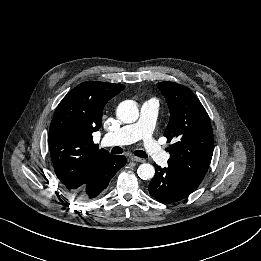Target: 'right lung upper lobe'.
Instances as JSON below:
<instances>
[{
  "label": "right lung upper lobe",
  "instance_id": "1",
  "mask_svg": "<svg viewBox=\"0 0 261 261\" xmlns=\"http://www.w3.org/2000/svg\"><path fill=\"white\" fill-rule=\"evenodd\" d=\"M124 85L87 81L71 90L57 106L49 129L55 173L69 192L84 185L98 161L110 154L93 142L102 125L103 108Z\"/></svg>",
  "mask_w": 261,
  "mask_h": 261
}]
</instances>
